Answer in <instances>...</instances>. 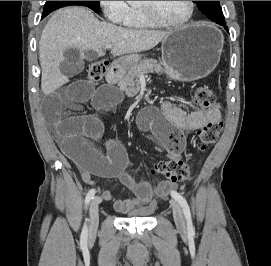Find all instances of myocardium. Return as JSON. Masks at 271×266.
Listing matches in <instances>:
<instances>
[{"label":"myocardium","mask_w":271,"mask_h":266,"mask_svg":"<svg viewBox=\"0 0 271 266\" xmlns=\"http://www.w3.org/2000/svg\"><path fill=\"white\" fill-rule=\"evenodd\" d=\"M146 3H149V2L147 1ZM188 4H189V13L187 17L180 22L166 21L165 19L161 18L149 4L141 5L140 9L142 13L144 14V16L154 25L168 27V28H181L188 25L194 17L195 4L193 1H188Z\"/></svg>","instance_id":"1"}]
</instances>
